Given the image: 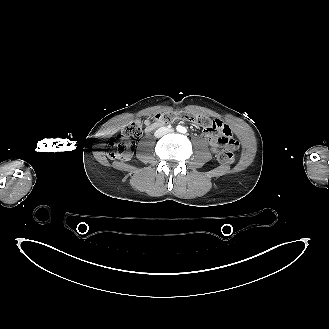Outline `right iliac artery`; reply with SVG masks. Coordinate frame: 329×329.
I'll return each instance as SVG.
<instances>
[{
	"instance_id": "1",
	"label": "right iliac artery",
	"mask_w": 329,
	"mask_h": 329,
	"mask_svg": "<svg viewBox=\"0 0 329 329\" xmlns=\"http://www.w3.org/2000/svg\"><path fill=\"white\" fill-rule=\"evenodd\" d=\"M178 131H181L182 127L181 126H177L176 128Z\"/></svg>"
}]
</instances>
